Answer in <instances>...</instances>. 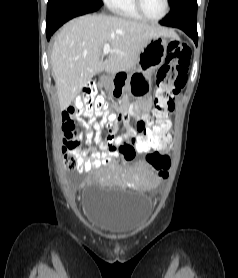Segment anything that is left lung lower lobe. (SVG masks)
Here are the masks:
<instances>
[{
	"instance_id": "0a47b994",
	"label": "left lung lower lobe",
	"mask_w": 238,
	"mask_h": 278,
	"mask_svg": "<svg viewBox=\"0 0 238 278\" xmlns=\"http://www.w3.org/2000/svg\"><path fill=\"white\" fill-rule=\"evenodd\" d=\"M171 7V12L160 21V24L183 30L197 45V0H177Z\"/></svg>"
}]
</instances>
